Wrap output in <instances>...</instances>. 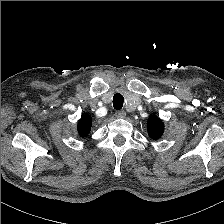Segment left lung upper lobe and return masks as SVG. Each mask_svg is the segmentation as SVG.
Segmentation results:
<instances>
[{
  "instance_id": "left-lung-upper-lobe-1",
  "label": "left lung upper lobe",
  "mask_w": 224,
  "mask_h": 224,
  "mask_svg": "<svg viewBox=\"0 0 224 224\" xmlns=\"http://www.w3.org/2000/svg\"><path fill=\"white\" fill-rule=\"evenodd\" d=\"M148 135L152 139H158L164 132V124L156 115H152L147 122Z\"/></svg>"
}]
</instances>
